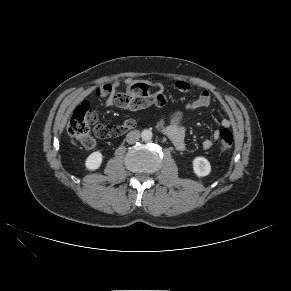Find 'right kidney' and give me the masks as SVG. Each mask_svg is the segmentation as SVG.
<instances>
[{
  "label": "right kidney",
  "mask_w": 291,
  "mask_h": 291,
  "mask_svg": "<svg viewBox=\"0 0 291 291\" xmlns=\"http://www.w3.org/2000/svg\"><path fill=\"white\" fill-rule=\"evenodd\" d=\"M102 160L103 155L100 151L93 152L87 157L85 167L90 171L97 170L101 166Z\"/></svg>",
  "instance_id": "right-kidney-1"
}]
</instances>
